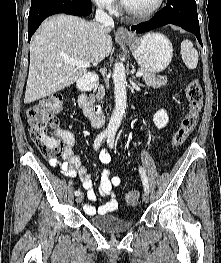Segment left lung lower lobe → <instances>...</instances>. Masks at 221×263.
Instances as JSON below:
<instances>
[{
  "label": "left lung lower lobe",
  "instance_id": "0a47b994",
  "mask_svg": "<svg viewBox=\"0 0 221 263\" xmlns=\"http://www.w3.org/2000/svg\"><path fill=\"white\" fill-rule=\"evenodd\" d=\"M167 24H174L192 32L203 46L195 0H167V5L153 18L132 26L131 30L143 33Z\"/></svg>",
  "mask_w": 221,
  "mask_h": 263
}]
</instances>
